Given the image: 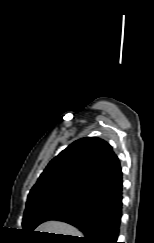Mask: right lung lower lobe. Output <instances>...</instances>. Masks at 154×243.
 <instances>
[{
    "instance_id": "98d812e1",
    "label": "right lung lower lobe",
    "mask_w": 154,
    "mask_h": 243,
    "mask_svg": "<svg viewBox=\"0 0 154 243\" xmlns=\"http://www.w3.org/2000/svg\"><path fill=\"white\" fill-rule=\"evenodd\" d=\"M122 215V179L75 208H67L49 220L69 223L84 233L78 243H118Z\"/></svg>"
}]
</instances>
